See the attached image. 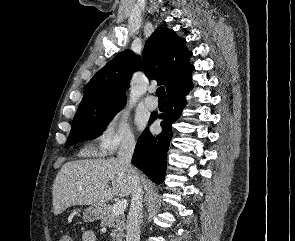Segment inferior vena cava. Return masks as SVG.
<instances>
[{"mask_svg": "<svg viewBox=\"0 0 295 241\" xmlns=\"http://www.w3.org/2000/svg\"><path fill=\"white\" fill-rule=\"evenodd\" d=\"M135 149V139L132 136H127L120 144L117 159L118 162L125 166L130 176L133 188L130 211L127 217V233L126 241L140 240V223L142 212V197L143 191L140 183L139 174L134 170L131 164V159Z\"/></svg>", "mask_w": 295, "mask_h": 241, "instance_id": "inferior-vena-cava-1", "label": "inferior vena cava"}]
</instances>
